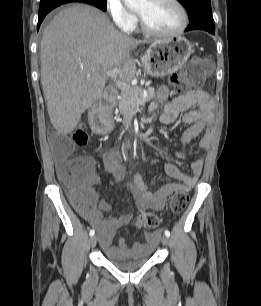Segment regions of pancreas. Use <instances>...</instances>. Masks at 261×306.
<instances>
[{
	"instance_id": "1",
	"label": "pancreas",
	"mask_w": 261,
	"mask_h": 306,
	"mask_svg": "<svg viewBox=\"0 0 261 306\" xmlns=\"http://www.w3.org/2000/svg\"><path fill=\"white\" fill-rule=\"evenodd\" d=\"M155 97V89L147 86V90L139 86L130 87L128 90L120 91L119 112L121 115H128L132 109L138 107L139 101L149 102Z\"/></svg>"
}]
</instances>
